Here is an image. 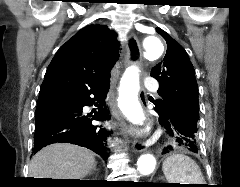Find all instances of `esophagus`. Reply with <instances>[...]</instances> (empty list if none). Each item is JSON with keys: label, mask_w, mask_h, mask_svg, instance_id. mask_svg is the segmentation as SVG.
I'll list each match as a JSON object with an SVG mask.
<instances>
[{"label": "esophagus", "mask_w": 240, "mask_h": 187, "mask_svg": "<svg viewBox=\"0 0 240 187\" xmlns=\"http://www.w3.org/2000/svg\"><path fill=\"white\" fill-rule=\"evenodd\" d=\"M141 60V46L139 40L134 34H129L126 41V56L125 64L126 65H138ZM132 148L136 152L145 151L148 148L146 142L134 139L132 142Z\"/></svg>", "instance_id": "esophagus-1"}]
</instances>
